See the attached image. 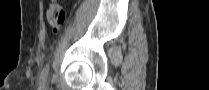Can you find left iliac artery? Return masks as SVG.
Masks as SVG:
<instances>
[{
	"mask_svg": "<svg viewBox=\"0 0 209 90\" xmlns=\"http://www.w3.org/2000/svg\"><path fill=\"white\" fill-rule=\"evenodd\" d=\"M48 72H49V64H46V66L43 68L42 72H41V76H40V82H39V86H44L47 80V76H48Z\"/></svg>",
	"mask_w": 209,
	"mask_h": 90,
	"instance_id": "44dca946",
	"label": "left iliac artery"
}]
</instances>
